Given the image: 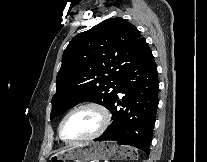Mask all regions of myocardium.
I'll return each instance as SVG.
<instances>
[{
	"mask_svg": "<svg viewBox=\"0 0 207 162\" xmlns=\"http://www.w3.org/2000/svg\"><path fill=\"white\" fill-rule=\"evenodd\" d=\"M83 109H94V110H96L99 113L100 118H101L100 126L98 127V129L95 132H93V133H91V134H89L85 137L74 139V140L65 139L64 136H63V129H64L65 122L74 113H76L80 110H83ZM110 120H111L110 112L103 104H101L99 102H95V101L86 102V103H83V104L73 108L71 111H69L63 117V119L60 122L59 129H58L59 137L65 143H79V142H84V141H87V140H91V139H94V138L100 136L108 128Z\"/></svg>",
	"mask_w": 207,
	"mask_h": 162,
	"instance_id": "myocardium-1",
	"label": "myocardium"
}]
</instances>
